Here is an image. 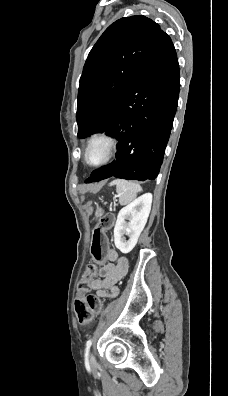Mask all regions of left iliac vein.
Returning <instances> with one entry per match:
<instances>
[{
	"mask_svg": "<svg viewBox=\"0 0 228 396\" xmlns=\"http://www.w3.org/2000/svg\"><path fill=\"white\" fill-rule=\"evenodd\" d=\"M90 361H91L92 364L95 362V359H94L93 356H91Z\"/></svg>",
	"mask_w": 228,
	"mask_h": 396,
	"instance_id": "1",
	"label": "left iliac vein"
}]
</instances>
